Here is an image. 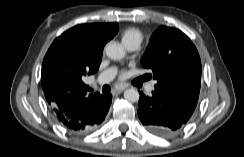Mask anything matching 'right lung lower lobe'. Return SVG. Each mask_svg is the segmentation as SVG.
I'll use <instances>...</instances> for the list:
<instances>
[{
    "mask_svg": "<svg viewBox=\"0 0 244 157\" xmlns=\"http://www.w3.org/2000/svg\"><path fill=\"white\" fill-rule=\"evenodd\" d=\"M111 100V94L102 96L96 93L91 98H79L67 106L60 102L50 106L65 128L73 132H85L95 129L105 120Z\"/></svg>",
    "mask_w": 244,
    "mask_h": 157,
    "instance_id": "obj_1",
    "label": "right lung lower lobe"
}]
</instances>
